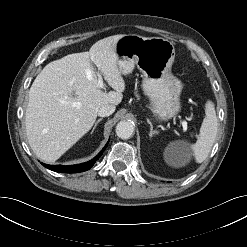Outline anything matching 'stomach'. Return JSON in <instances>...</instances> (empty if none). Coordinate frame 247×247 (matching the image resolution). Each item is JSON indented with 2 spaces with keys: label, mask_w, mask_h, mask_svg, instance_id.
Wrapping results in <instances>:
<instances>
[{
  "label": "stomach",
  "mask_w": 247,
  "mask_h": 247,
  "mask_svg": "<svg viewBox=\"0 0 247 247\" xmlns=\"http://www.w3.org/2000/svg\"><path fill=\"white\" fill-rule=\"evenodd\" d=\"M118 67L123 75L135 66L144 75L142 88L149 98L153 113L160 119H171L181 111L183 83L171 72L175 48L161 37L123 35L116 43Z\"/></svg>",
  "instance_id": "stomach-1"
}]
</instances>
